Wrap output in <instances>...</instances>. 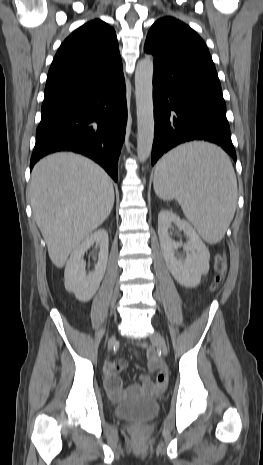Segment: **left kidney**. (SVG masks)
Instances as JSON below:
<instances>
[{"label": "left kidney", "instance_id": "left-kidney-1", "mask_svg": "<svg viewBox=\"0 0 263 465\" xmlns=\"http://www.w3.org/2000/svg\"><path fill=\"white\" fill-rule=\"evenodd\" d=\"M173 226H177L186 234L187 243L176 242L170 237ZM158 235L167 268L172 276L187 288L196 287L201 276L208 273L210 259L209 250L198 233L190 223L182 220L177 214L162 210L158 215ZM179 247H183L186 258L176 255Z\"/></svg>", "mask_w": 263, "mask_h": 465}]
</instances>
